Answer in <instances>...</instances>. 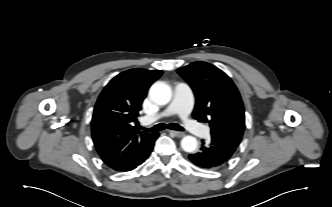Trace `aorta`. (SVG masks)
<instances>
[{
    "mask_svg": "<svg viewBox=\"0 0 332 207\" xmlns=\"http://www.w3.org/2000/svg\"><path fill=\"white\" fill-rule=\"evenodd\" d=\"M150 99L158 105H166L172 97L171 88L164 82H155L149 90ZM198 143L195 137L185 136L181 140V148L188 153L197 149Z\"/></svg>",
    "mask_w": 332,
    "mask_h": 207,
    "instance_id": "obj_1",
    "label": "aorta"
}]
</instances>
